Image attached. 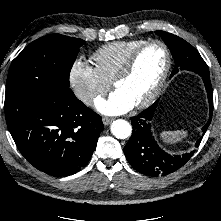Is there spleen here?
<instances>
[{
  "mask_svg": "<svg viewBox=\"0 0 221 221\" xmlns=\"http://www.w3.org/2000/svg\"><path fill=\"white\" fill-rule=\"evenodd\" d=\"M188 135L185 130H177V131H165L160 134L161 139L169 144H174L182 139L186 138Z\"/></svg>",
  "mask_w": 221,
  "mask_h": 221,
  "instance_id": "spleen-1",
  "label": "spleen"
}]
</instances>
